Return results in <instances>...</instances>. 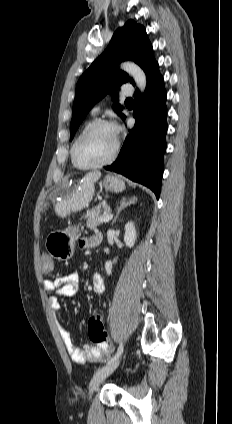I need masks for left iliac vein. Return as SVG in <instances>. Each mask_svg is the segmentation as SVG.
I'll use <instances>...</instances> for the list:
<instances>
[{
  "label": "left iliac vein",
  "mask_w": 232,
  "mask_h": 424,
  "mask_svg": "<svg viewBox=\"0 0 232 424\" xmlns=\"http://www.w3.org/2000/svg\"><path fill=\"white\" fill-rule=\"evenodd\" d=\"M120 363V359H116L110 363H108L107 365H105L104 367L100 368L93 376L91 382H90V386H89V391L90 393H93L98 387L99 385L109 376L111 375L115 369L119 366Z\"/></svg>",
  "instance_id": "4c4485c4"
}]
</instances>
